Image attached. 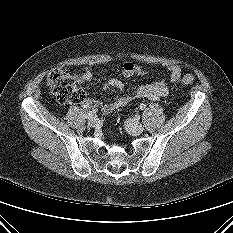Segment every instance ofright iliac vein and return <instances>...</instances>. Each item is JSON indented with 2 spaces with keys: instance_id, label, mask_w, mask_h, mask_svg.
Here are the masks:
<instances>
[{
  "instance_id": "right-iliac-vein-1",
  "label": "right iliac vein",
  "mask_w": 233,
  "mask_h": 233,
  "mask_svg": "<svg viewBox=\"0 0 233 233\" xmlns=\"http://www.w3.org/2000/svg\"><path fill=\"white\" fill-rule=\"evenodd\" d=\"M88 125L91 128L96 127L98 125V118L97 117H92L91 119H89Z\"/></svg>"
}]
</instances>
